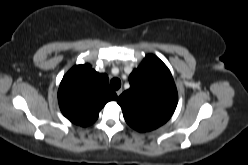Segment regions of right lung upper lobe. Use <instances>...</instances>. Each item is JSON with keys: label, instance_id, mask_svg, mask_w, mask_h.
<instances>
[{"label": "right lung upper lobe", "instance_id": "right-lung-upper-lobe-1", "mask_svg": "<svg viewBox=\"0 0 248 165\" xmlns=\"http://www.w3.org/2000/svg\"><path fill=\"white\" fill-rule=\"evenodd\" d=\"M108 83L107 75L96 72L91 65L74 66L63 77L58 90L63 115L83 127L94 123L104 105L117 99Z\"/></svg>", "mask_w": 248, "mask_h": 165}]
</instances>
